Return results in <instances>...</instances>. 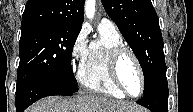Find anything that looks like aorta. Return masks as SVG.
Wrapping results in <instances>:
<instances>
[{
    "label": "aorta",
    "mask_w": 193,
    "mask_h": 112,
    "mask_svg": "<svg viewBox=\"0 0 193 112\" xmlns=\"http://www.w3.org/2000/svg\"><path fill=\"white\" fill-rule=\"evenodd\" d=\"M95 0H88L85 4V16L88 19H93L95 15Z\"/></svg>",
    "instance_id": "obj_1"
}]
</instances>
